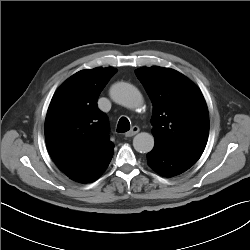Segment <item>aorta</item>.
I'll return each mask as SVG.
<instances>
[{
	"label": "aorta",
	"instance_id": "aorta-1",
	"mask_svg": "<svg viewBox=\"0 0 250 250\" xmlns=\"http://www.w3.org/2000/svg\"><path fill=\"white\" fill-rule=\"evenodd\" d=\"M112 100L128 108H137L143 103L139 90L126 82L115 83L110 89ZM133 147L139 153H148L154 147V137L146 132L137 134L133 139Z\"/></svg>",
	"mask_w": 250,
	"mask_h": 250
}]
</instances>
